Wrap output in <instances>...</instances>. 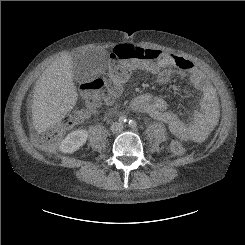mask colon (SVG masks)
I'll list each match as a JSON object with an SVG mask.
<instances>
[{
	"mask_svg": "<svg viewBox=\"0 0 245 245\" xmlns=\"http://www.w3.org/2000/svg\"><path fill=\"white\" fill-rule=\"evenodd\" d=\"M146 59L145 51L134 45H123L114 54L109 62L107 72L81 86L84 104L90 110H96L101 105V95L104 92L115 90L119 83L125 81L137 63ZM78 111H73L65 116L61 122L36 136V141L41 147H52L60 136L72 128L78 120ZM168 149L175 156L183 155L184 144L179 139H172Z\"/></svg>",
	"mask_w": 245,
	"mask_h": 245,
	"instance_id": "obj_1",
	"label": "colon"
}]
</instances>
